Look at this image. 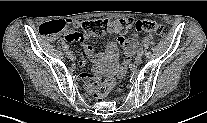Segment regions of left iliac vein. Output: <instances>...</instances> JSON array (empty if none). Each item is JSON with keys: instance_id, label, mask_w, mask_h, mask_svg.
I'll return each mask as SVG.
<instances>
[{"instance_id": "4c4485c4", "label": "left iliac vein", "mask_w": 207, "mask_h": 123, "mask_svg": "<svg viewBox=\"0 0 207 123\" xmlns=\"http://www.w3.org/2000/svg\"><path fill=\"white\" fill-rule=\"evenodd\" d=\"M142 61V55L137 54V56L135 57V63L136 64H140Z\"/></svg>"}]
</instances>
